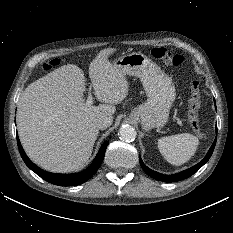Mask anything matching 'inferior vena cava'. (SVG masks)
<instances>
[{
	"label": "inferior vena cava",
	"instance_id": "602c4592",
	"mask_svg": "<svg viewBox=\"0 0 233 233\" xmlns=\"http://www.w3.org/2000/svg\"><path fill=\"white\" fill-rule=\"evenodd\" d=\"M113 122V118L110 116H101L96 120L97 128L104 130L109 127Z\"/></svg>",
	"mask_w": 233,
	"mask_h": 233
}]
</instances>
